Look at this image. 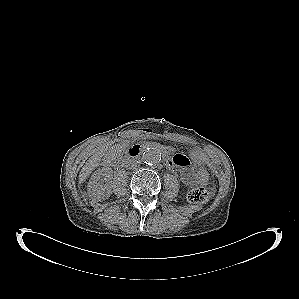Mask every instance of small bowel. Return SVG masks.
<instances>
[{"mask_svg":"<svg viewBox=\"0 0 299 299\" xmlns=\"http://www.w3.org/2000/svg\"><path fill=\"white\" fill-rule=\"evenodd\" d=\"M171 167H177L180 171L182 181L191 186L196 183L194 173L190 169V161L187 157L181 154H176L171 159Z\"/></svg>","mask_w":299,"mask_h":299,"instance_id":"small-bowel-1","label":"small bowel"}]
</instances>
